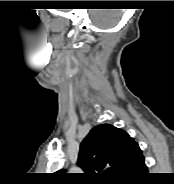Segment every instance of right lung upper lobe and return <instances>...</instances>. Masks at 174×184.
I'll use <instances>...</instances> for the list:
<instances>
[{
  "label": "right lung upper lobe",
  "instance_id": "1",
  "mask_svg": "<svg viewBox=\"0 0 174 184\" xmlns=\"http://www.w3.org/2000/svg\"><path fill=\"white\" fill-rule=\"evenodd\" d=\"M142 157L138 144L128 133L101 124L91 129L81 143L77 164L83 169L86 182H117Z\"/></svg>",
  "mask_w": 174,
  "mask_h": 184
}]
</instances>
